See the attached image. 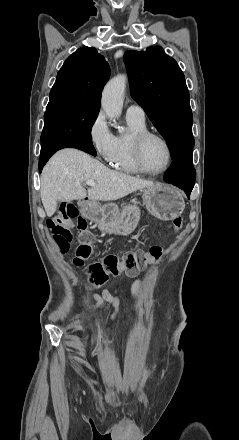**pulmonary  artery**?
<instances>
[{
    "label": "pulmonary artery",
    "mask_w": 239,
    "mask_h": 440,
    "mask_svg": "<svg viewBox=\"0 0 239 440\" xmlns=\"http://www.w3.org/2000/svg\"><path fill=\"white\" fill-rule=\"evenodd\" d=\"M126 117L137 122H145L146 115L142 106L130 103L126 110Z\"/></svg>",
    "instance_id": "obj_1"
}]
</instances>
